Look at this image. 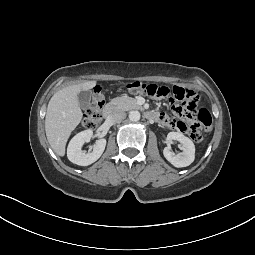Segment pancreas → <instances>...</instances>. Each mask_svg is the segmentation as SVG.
Wrapping results in <instances>:
<instances>
[{
  "instance_id": "obj_1",
  "label": "pancreas",
  "mask_w": 255,
  "mask_h": 255,
  "mask_svg": "<svg viewBox=\"0 0 255 255\" xmlns=\"http://www.w3.org/2000/svg\"><path fill=\"white\" fill-rule=\"evenodd\" d=\"M114 109L128 111L131 109H139L136 99L129 96H121L113 98L109 103Z\"/></svg>"
}]
</instances>
